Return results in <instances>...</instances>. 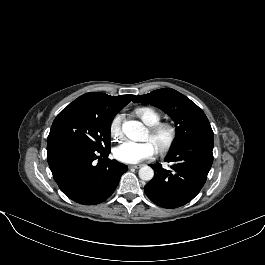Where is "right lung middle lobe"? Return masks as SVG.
Listing matches in <instances>:
<instances>
[{
	"label": "right lung middle lobe",
	"mask_w": 265,
	"mask_h": 265,
	"mask_svg": "<svg viewBox=\"0 0 265 265\" xmlns=\"http://www.w3.org/2000/svg\"><path fill=\"white\" fill-rule=\"evenodd\" d=\"M112 120L84 109L65 108L55 118L47 142L69 139L96 150L109 149Z\"/></svg>",
	"instance_id": "1"
}]
</instances>
